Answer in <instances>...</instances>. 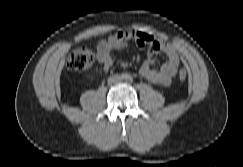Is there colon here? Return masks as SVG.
I'll list each match as a JSON object with an SVG mask.
<instances>
[{
	"label": "colon",
	"mask_w": 243,
	"mask_h": 167,
	"mask_svg": "<svg viewBox=\"0 0 243 167\" xmlns=\"http://www.w3.org/2000/svg\"><path fill=\"white\" fill-rule=\"evenodd\" d=\"M94 60L95 54L92 48L89 45H83L70 54L67 59V68L72 72H83L93 64ZM178 78L181 81H185L187 73L181 70Z\"/></svg>",
	"instance_id": "colon-1"
}]
</instances>
